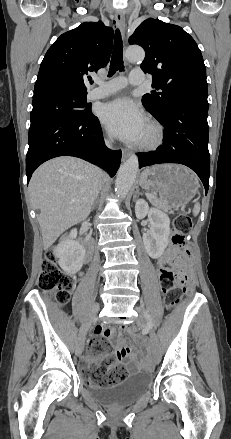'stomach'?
Instances as JSON below:
<instances>
[{
    "instance_id": "1",
    "label": "stomach",
    "mask_w": 231,
    "mask_h": 439,
    "mask_svg": "<svg viewBox=\"0 0 231 439\" xmlns=\"http://www.w3.org/2000/svg\"><path fill=\"white\" fill-rule=\"evenodd\" d=\"M139 182L144 189L158 193L164 209L185 205L195 196L200 186L192 170L176 164L147 168L141 173Z\"/></svg>"
}]
</instances>
